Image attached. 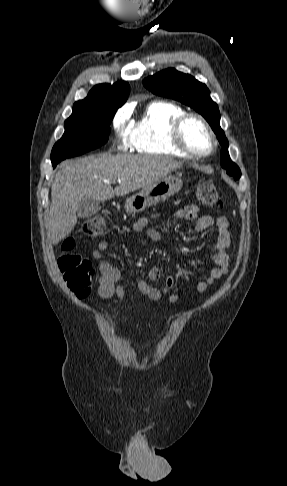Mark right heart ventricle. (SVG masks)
<instances>
[{"mask_svg":"<svg viewBox=\"0 0 287 486\" xmlns=\"http://www.w3.org/2000/svg\"><path fill=\"white\" fill-rule=\"evenodd\" d=\"M184 109L172 102L154 101L126 134L130 146L139 154L168 157H186L171 141V128Z\"/></svg>","mask_w":287,"mask_h":486,"instance_id":"obj_1","label":"right heart ventricle"}]
</instances>
